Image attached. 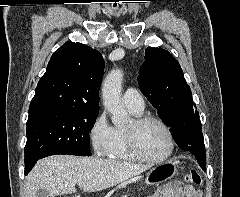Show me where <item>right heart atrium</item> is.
<instances>
[{"label": "right heart atrium", "mask_w": 240, "mask_h": 197, "mask_svg": "<svg viewBox=\"0 0 240 197\" xmlns=\"http://www.w3.org/2000/svg\"><path fill=\"white\" fill-rule=\"evenodd\" d=\"M89 140L97 156H108L113 146L114 127L105 112L99 113L89 128Z\"/></svg>", "instance_id": "1"}]
</instances>
